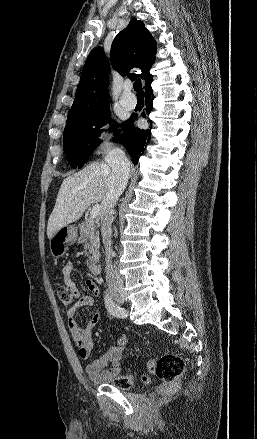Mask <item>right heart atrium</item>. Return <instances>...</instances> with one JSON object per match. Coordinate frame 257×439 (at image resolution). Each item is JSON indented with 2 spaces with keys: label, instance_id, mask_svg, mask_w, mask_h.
<instances>
[{
  "label": "right heart atrium",
  "instance_id": "obj_1",
  "mask_svg": "<svg viewBox=\"0 0 257 439\" xmlns=\"http://www.w3.org/2000/svg\"><path fill=\"white\" fill-rule=\"evenodd\" d=\"M98 138L100 140V146L103 149L109 148L114 142V135L108 128L101 130L98 134Z\"/></svg>",
  "mask_w": 257,
  "mask_h": 439
}]
</instances>
